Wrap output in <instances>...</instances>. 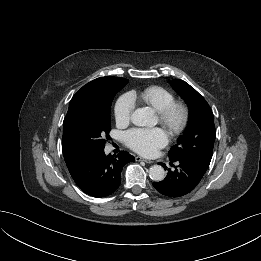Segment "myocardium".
<instances>
[{
	"mask_svg": "<svg viewBox=\"0 0 261 261\" xmlns=\"http://www.w3.org/2000/svg\"><path fill=\"white\" fill-rule=\"evenodd\" d=\"M158 121L170 134L178 135L187 126L189 121V108L181 101H174L166 108L157 112Z\"/></svg>",
	"mask_w": 261,
	"mask_h": 261,
	"instance_id": "f54148a6",
	"label": "myocardium"
}]
</instances>
